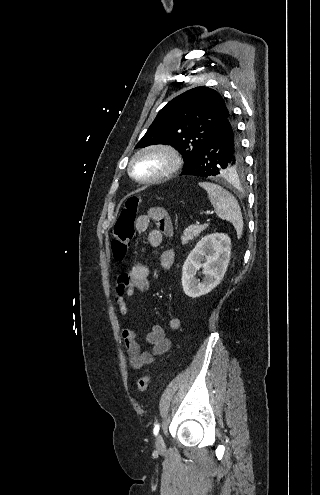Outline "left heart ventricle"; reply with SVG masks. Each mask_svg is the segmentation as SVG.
Wrapping results in <instances>:
<instances>
[{
  "label": "left heart ventricle",
  "instance_id": "1",
  "mask_svg": "<svg viewBox=\"0 0 320 495\" xmlns=\"http://www.w3.org/2000/svg\"><path fill=\"white\" fill-rule=\"evenodd\" d=\"M165 166V160L158 155L143 156L134 164V172L139 177H150L160 172Z\"/></svg>",
  "mask_w": 320,
  "mask_h": 495
}]
</instances>
